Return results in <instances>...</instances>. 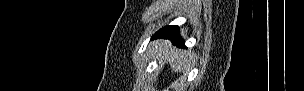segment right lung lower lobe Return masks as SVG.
<instances>
[{
  "label": "right lung lower lobe",
  "instance_id": "98d812e1",
  "mask_svg": "<svg viewBox=\"0 0 304 91\" xmlns=\"http://www.w3.org/2000/svg\"><path fill=\"white\" fill-rule=\"evenodd\" d=\"M179 28L178 26H165L156 32L152 39L164 38V39H174L177 46L184 47V41L179 37Z\"/></svg>",
  "mask_w": 304,
  "mask_h": 91
}]
</instances>
